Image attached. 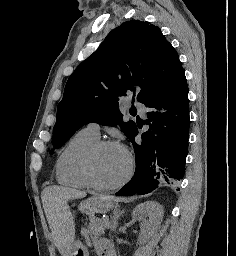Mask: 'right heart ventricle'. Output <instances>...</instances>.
Segmentation results:
<instances>
[{"instance_id": "obj_1", "label": "right heart ventricle", "mask_w": 236, "mask_h": 256, "mask_svg": "<svg viewBox=\"0 0 236 256\" xmlns=\"http://www.w3.org/2000/svg\"><path fill=\"white\" fill-rule=\"evenodd\" d=\"M99 139L84 129L77 132L57 158L55 176L59 184L76 189L90 188L84 174L85 161Z\"/></svg>"}]
</instances>
